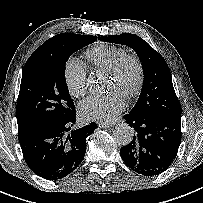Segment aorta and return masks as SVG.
I'll list each match as a JSON object with an SVG mask.
<instances>
[{"instance_id":"1","label":"aorta","mask_w":203,"mask_h":203,"mask_svg":"<svg viewBox=\"0 0 203 203\" xmlns=\"http://www.w3.org/2000/svg\"><path fill=\"white\" fill-rule=\"evenodd\" d=\"M114 138L119 145H128L133 140L134 130L126 123L118 124L114 130Z\"/></svg>"}]
</instances>
